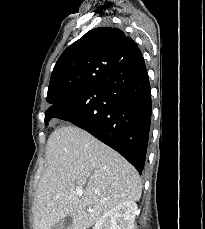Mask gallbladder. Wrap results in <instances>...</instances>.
<instances>
[{
	"label": "gallbladder",
	"mask_w": 205,
	"mask_h": 229,
	"mask_svg": "<svg viewBox=\"0 0 205 229\" xmlns=\"http://www.w3.org/2000/svg\"><path fill=\"white\" fill-rule=\"evenodd\" d=\"M72 225V217L68 215L65 219L55 224L51 229H70Z\"/></svg>",
	"instance_id": "bac80fb5"
}]
</instances>
